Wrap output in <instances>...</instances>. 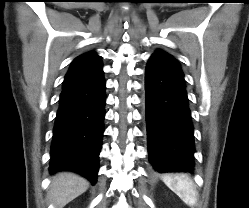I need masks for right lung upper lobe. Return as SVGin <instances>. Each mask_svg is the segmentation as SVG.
<instances>
[{
  "label": "right lung upper lobe",
  "mask_w": 249,
  "mask_h": 208,
  "mask_svg": "<svg viewBox=\"0 0 249 208\" xmlns=\"http://www.w3.org/2000/svg\"><path fill=\"white\" fill-rule=\"evenodd\" d=\"M102 72L100 56L94 51L84 53L72 61L65 75L63 89L89 80Z\"/></svg>",
  "instance_id": "cb5924a9"
}]
</instances>
